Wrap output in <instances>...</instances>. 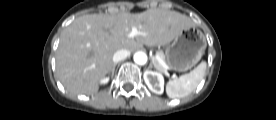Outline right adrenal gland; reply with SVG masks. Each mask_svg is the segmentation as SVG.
<instances>
[{"label": "right adrenal gland", "mask_w": 276, "mask_h": 120, "mask_svg": "<svg viewBox=\"0 0 276 120\" xmlns=\"http://www.w3.org/2000/svg\"><path fill=\"white\" fill-rule=\"evenodd\" d=\"M116 65H117V63H114L113 66H112V69H111L112 76L114 75Z\"/></svg>", "instance_id": "1"}]
</instances>
